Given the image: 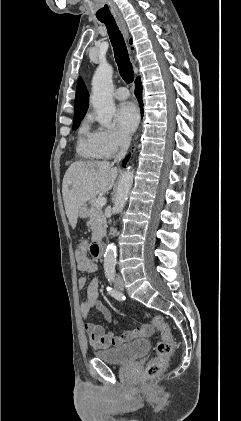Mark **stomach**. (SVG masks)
Instances as JSON below:
<instances>
[{
	"label": "stomach",
	"mask_w": 241,
	"mask_h": 421,
	"mask_svg": "<svg viewBox=\"0 0 241 421\" xmlns=\"http://www.w3.org/2000/svg\"><path fill=\"white\" fill-rule=\"evenodd\" d=\"M88 214H89V211H88L86 205H83L78 212V217L82 218V219H85V218L88 217Z\"/></svg>",
	"instance_id": "obj_1"
}]
</instances>
